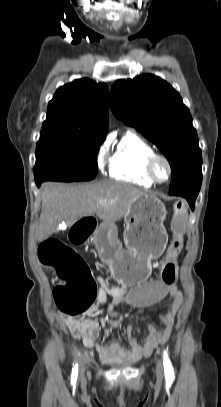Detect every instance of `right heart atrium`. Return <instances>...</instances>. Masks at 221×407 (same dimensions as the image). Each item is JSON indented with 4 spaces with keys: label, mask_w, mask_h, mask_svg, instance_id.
I'll list each match as a JSON object with an SVG mask.
<instances>
[{
    "label": "right heart atrium",
    "mask_w": 221,
    "mask_h": 407,
    "mask_svg": "<svg viewBox=\"0 0 221 407\" xmlns=\"http://www.w3.org/2000/svg\"><path fill=\"white\" fill-rule=\"evenodd\" d=\"M109 142H103L96 153V164L98 169L103 172L109 161Z\"/></svg>",
    "instance_id": "d8ad5b80"
}]
</instances>
